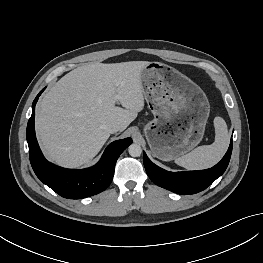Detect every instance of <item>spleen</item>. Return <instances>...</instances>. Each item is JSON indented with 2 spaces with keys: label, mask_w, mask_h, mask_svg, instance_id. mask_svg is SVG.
Here are the masks:
<instances>
[{
  "label": "spleen",
  "mask_w": 263,
  "mask_h": 263,
  "mask_svg": "<svg viewBox=\"0 0 263 263\" xmlns=\"http://www.w3.org/2000/svg\"><path fill=\"white\" fill-rule=\"evenodd\" d=\"M215 141L211 145H203L175 159V163L188 170L207 169L218 163L229 145V135L223 118H214Z\"/></svg>",
  "instance_id": "spleen-1"
}]
</instances>
